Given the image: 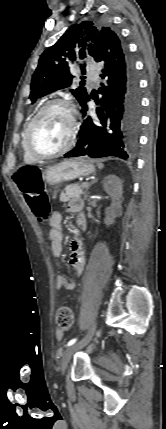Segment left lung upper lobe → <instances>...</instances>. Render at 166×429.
Returning <instances> with one entry per match:
<instances>
[{"label":"left lung upper lobe","instance_id":"obj_1","mask_svg":"<svg viewBox=\"0 0 166 429\" xmlns=\"http://www.w3.org/2000/svg\"><path fill=\"white\" fill-rule=\"evenodd\" d=\"M114 38L118 39L119 36L109 27L95 26L89 21L72 25L53 46L42 53L31 79L29 99L35 102L47 92L70 86L74 77L70 73L71 65L79 58L92 57L95 60L99 45L110 43ZM71 92L80 105L89 97L84 87L72 89Z\"/></svg>","mask_w":166,"mask_h":429}]
</instances>
